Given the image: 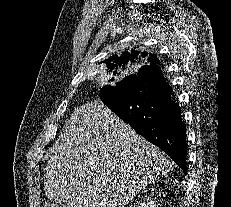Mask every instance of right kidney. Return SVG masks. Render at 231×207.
<instances>
[{"label":"right kidney","instance_id":"1","mask_svg":"<svg viewBox=\"0 0 231 207\" xmlns=\"http://www.w3.org/2000/svg\"><path fill=\"white\" fill-rule=\"evenodd\" d=\"M134 207H156V203L154 200L147 198L146 200L137 202Z\"/></svg>","mask_w":231,"mask_h":207}]
</instances>
